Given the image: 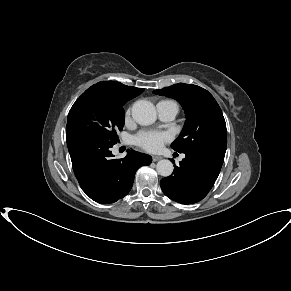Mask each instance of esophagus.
<instances>
[{
	"label": "esophagus",
	"instance_id": "1",
	"mask_svg": "<svg viewBox=\"0 0 291 291\" xmlns=\"http://www.w3.org/2000/svg\"><path fill=\"white\" fill-rule=\"evenodd\" d=\"M160 159H162L161 156H156V155L152 156V160H153V162H156V161H158V160H160Z\"/></svg>",
	"mask_w": 291,
	"mask_h": 291
}]
</instances>
